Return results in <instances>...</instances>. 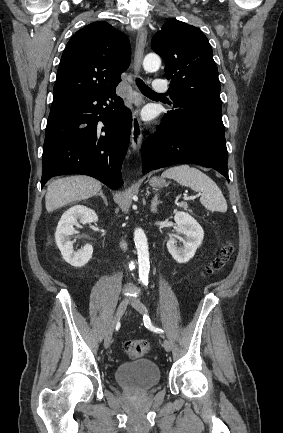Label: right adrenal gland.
I'll use <instances>...</instances> for the list:
<instances>
[{
	"instance_id": "right-adrenal-gland-1",
	"label": "right adrenal gland",
	"mask_w": 283,
	"mask_h": 433,
	"mask_svg": "<svg viewBox=\"0 0 283 433\" xmlns=\"http://www.w3.org/2000/svg\"><path fill=\"white\" fill-rule=\"evenodd\" d=\"M97 194H99V196H102L106 206H108V200H107L105 194H103V190H99V192H97Z\"/></svg>"
}]
</instances>
